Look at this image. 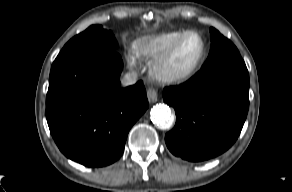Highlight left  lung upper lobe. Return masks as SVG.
I'll list each match as a JSON object with an SVG mask.
<instances>
[{
    "label": "left lung upper lobe",
    "mask_w": 292,
    "mask_h": 192,
    "mask_svg": "<svg viewBox=\"0 0 292 192\" xmlns=\"http://www.w3.org/2000/svg\"><path fill=\"white\" fill-rule=\"evenodd\" d=\"M211 49L206 62L201 67V70L212 68L224 64H242L239 51L235 45L221 35L216 29L210 28Z\"/></svg>",
    "instance_id": "5c2ea615"
}]
</instances>
